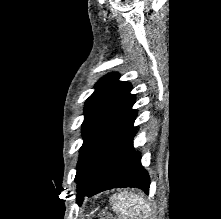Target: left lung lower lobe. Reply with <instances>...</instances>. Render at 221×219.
<instances>
[{
  "mask_svg": "<svg viewBox=\"0 0 221 219\" xmlns=\"http://www.w3.org/2000/svg\"><path fill=\"white\" fill-rule=\"evenodd\" d=\"M137 111L132 107L108 131L86 161L77 179V202L118 187H137L148 193L150 178L133 149Z\"/></svg>",
  "mask_w": 221,
  "mask_h": 219,
  "instance_id": "obj_1",
  "label": "left lung lower lobe"
}]
</instances>
